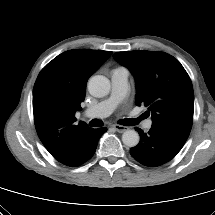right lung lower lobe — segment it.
Returning a JSON list of instances; mask_svg holds the SVG:
<instances>
[{"instance_id":"98d812e1","label":"right lung lower lobe","mask_w":215,"mask_h":215,"mask_svg":"<svg viewBox=\"0 0 215 215\" xmlns=\"http://www.w3.org/2000/svg\"><path fill=\"white\" fill-rule=\"evenodd\" d=\"M107 131L106 127L99 129H92L87 135L81 140L80 148L77 152L76 157L67 166L76 167L87 160H89L95 153L98 141L102 134Z\"/></svg>"}]
</instances>
